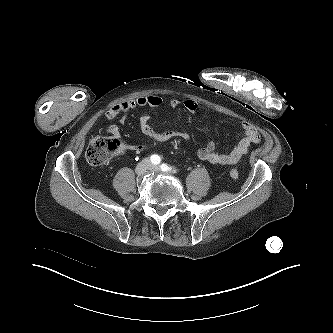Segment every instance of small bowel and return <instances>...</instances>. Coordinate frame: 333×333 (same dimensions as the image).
<instances>
[{"instance_id":"1","label":"small bowel","mask_w":333,"mask_h":333,"mask_svg":"<svg viewBox=\"0 0 333 333\" xmlns=\"http://www.w3.org/2000/svg\"><path fill=\"white\" fill-rule=\"evenodd\" d=\"M164 104L163 99L159 95H145L134 99H130L121 103H118L109 108L105 113L106 120H113L119 118V122L124 124L127 119L128 113L135 108H159ZM170 108H177L183 106L187 111L196 113L199 111V104L193 99H170L166 102ZM153 117L150 114H143L139 119L140 130L152 142L162 143L174 138H181L183 140H189L190 136L185 131L168 130L163 132H157L151 126ZM106 131L112 136L119 138L120 132L116 125H109ZM240 139L234 145L233 149L228 154L220 153L216 150V144L214 141H209L204 146L197 150V156L203 161L209 163L231 167L242 162L248 155L250 145L253 143H259L261 141V135L258 130L249 122H242L239 126ZM129 148L135 152L142 151L144 145H132Z\"/></svg>"}]
</instances>
